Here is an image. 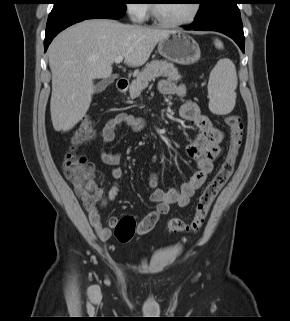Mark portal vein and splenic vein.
Wrapping results in <instances>:
<instances>
[{"mask_svg": "<svg viewBox=\"0 0 290 321\" xmlns=\"http://www.w3.org/2000/svg\"><path fill=\"white\" fill-rule=\"evenodd\" d=\"M122 60H123V57L122 56H118V57L115 58L114 61H115V63L119 64V63L122 62Z\"/></svg>", "mask_w": 290, "mask_h": 321, "instance_id": "obj_1", "label": "portal vein and splenic vein"}]
</instances>
